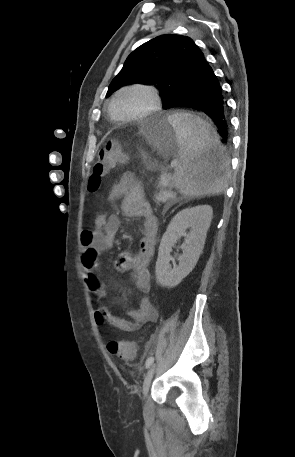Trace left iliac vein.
Here are the masks:
<instances>
[{
  "instance_id": "4c4485c4",
  "label": "left iliac vein",
  "mask_w": 295,
  "mask_h": 457,
  "mask_svg": "<svg viewBox=\"0 0 295 457\" xmlns=\"http://www.w3.org/2000/svg\"><path fill=\"white\" fill-rule=\"evenodd\" d=\"M155 369H156V364L151 365V367L149 368V370L147 371V373L145 375L143 385H142V393H143L144 398L148 394V391H149V388L151 385V381H152V378L155 373Z\"/></svg>"
}]
</instances>
